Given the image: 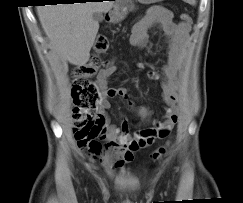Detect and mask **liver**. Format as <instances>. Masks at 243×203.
<instances>
[{"mask_svg":"<svg viewBox=\"0 0 243 203\" xmlns=\"http://www.w3.org/2000/svg\"><path fill=\"white\" fill-rule=\"evenodd\" d=\"M114 2H85L42 5L37 14L42 28L53 48L69 63L85 65L98 33L99 24L93 19L94 12H107Z\"/></svg>","mask_w":243,"mask_h":203,"instance_id":"1","label":"liver"}]
</instances>
